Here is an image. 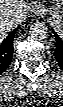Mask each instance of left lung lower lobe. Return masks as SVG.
Here are the masks:
<instances>
[{
  "instance_id": "1",
  "label": "left lung lower lobe",
  "mask_w": 63,
  "mask_h": 107,
  "mask_svg": "<svg viewBox=\"0 0 63 107\" xmlns=\"http://www.w3.org/2000/svg\"><path fill=\"white\" fill-rule=\"evenodd\" d=\"M53 33L56 40V49L54 52V56L59 66L63 69V41L54 30H53Z\"/></svg>"
}]
</instances>
